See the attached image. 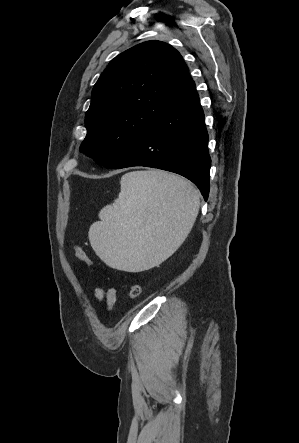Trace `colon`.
Segmentation results:
<instances>
[{
    "label": "colon",
    "instance_id": "obj_1",
    "mask_svg": "<svg viewBox=\"0 0 299 443\" xmlns=\"http://www.w3.org/2000/svg\"><path fill=\"white\" fill-rule=\"evenodd\" d=\"M73 252L75 254V256L81 260L82 262L90 265V266H94V262L91 259V257L78 245H75L73 247ZM142 293V288L139 284L134 283L131 285L130 287V297L132 299H137Z\"/></svg>",
    "mask_w": 299,
    "mask_h": 443
}]
</instances>
